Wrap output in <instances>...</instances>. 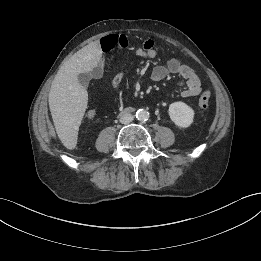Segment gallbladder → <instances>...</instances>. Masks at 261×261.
<instances>
[{"instance_id":"1","label":"gallbladder","mask_w":261,"mask_h":261,"mask_svg":"<svg viewBox=\"0 0 261 261\" xmlns=\"http://www.w3.org/2000/svg\"><path fill=\"white\" fill-rule=\"evenodd\" d=\"M90 79L91 73H81L78 75V81L84 87L88 86Z\"/></svg>"}]
</instances>
